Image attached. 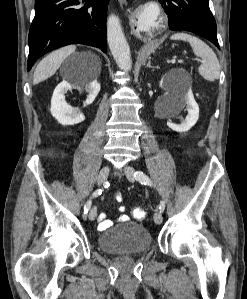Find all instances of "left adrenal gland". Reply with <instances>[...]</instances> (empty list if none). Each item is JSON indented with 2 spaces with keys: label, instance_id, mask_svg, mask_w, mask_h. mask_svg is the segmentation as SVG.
Wrapping results in <instances>:
<instances>
[{
  "label": "left adrenal gland",
  "instance_id": "left-adrenal-gland-1",
  "mask_svg": "<svg viewBox=\"0 0 247 299\" xmlns=\"http://www.w3.org/2000/svg\"><path fill=\"white\" fill-rule=\"evenodd\" d=\"M146 67H149V68H158V67L151 66L150 58L148 59V63L146 64Z\"/></svg>",
  "mask_w": 247,
  "mask_h": 299
}]
</instances>
